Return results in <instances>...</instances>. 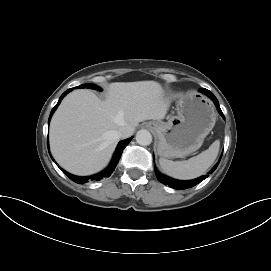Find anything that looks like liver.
I'll return each mask as SVG.
<instances>
[{
	"label": "liver",
	"mask_w": 271,
	"mask_h": 271,
	"mask_svg": "<svg viewBox=\"0 0 271 271\" xmlns=\"http://www.w3.org/2000/svg\"><path fill=\"white\" fill-rule=\"evenodd\" d=\"M169 106L170 100L155 81L111 83L104 101L88 89L75 90L52 117L51 152L72 174L97 173L110 161L120 140V127L135 128L145 120H162Z\"/></svg>",
	"instance_id": "6515ba94"
}]
</instances>
